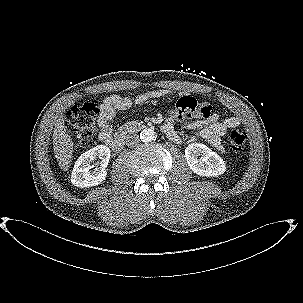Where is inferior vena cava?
<instances>
[{
  "label": "inferior vena cava",
  "instance_id": "inferior-vena-cava-1",
  "mask_svg": "<svg viewBox=\"0 0 303 303\" xmlns=\"http://www.w3.org/2000/svg\"><path fill=\"white\" fill-rule=\"evenodd\" d=\"M126 145L128 146H134L136 144H138L139 142V135H137L136 133H129L126 135Z\"/></svg>",
  "mask_w": 303,
  "mask_h": 303
}]
</instances>
